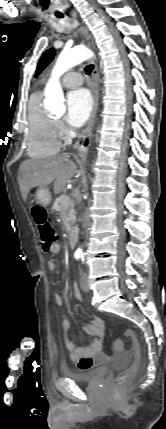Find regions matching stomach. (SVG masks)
<instances>
[{
    "label": "stomach",
    "instance_id": "obj_1",
    "mask_svg": "<svg viewBox=\"0 0 166 429\" xmlns=\"http://www.w3.org/2000/svg\"><path fill=\"white\" fill-rule=\"evenodd\" d=\"M35 200L38 204L47 207L51 203V193L47 187H40L35 194Z\"/></svg>",
    "mask_w": 166,
    "mask_h": 429
}]
</instances>
